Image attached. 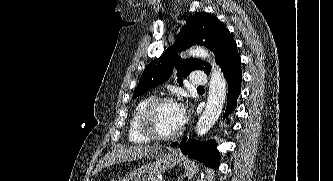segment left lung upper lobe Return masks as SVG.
<instances>
[{"label": "left lung upper lobe", "mask_w": 333, "mask_h": 181, "mask_svg": "<svg viewBox=\"0 0 333 181\" xmlns=\"http://www.w3.org/2000/svg\"><path fill=\"white\" fill-rule=\"evenodd\" d=\"M196 44L213 51L219 65L236 46L229 30L216 17L206 12L194 14L188 19L187 25L182 27L175 43L145 68L133 99L165 82L171 76L174 66L179 77L187 76L193 70H203L209 74L211 66L208 63L193 58L182 60L177 55L178 51ZM179 84H183L180 78Z\"/></svg>", "instance_id": "5c2ea615"}]
</instances>
